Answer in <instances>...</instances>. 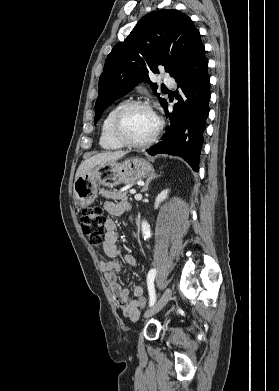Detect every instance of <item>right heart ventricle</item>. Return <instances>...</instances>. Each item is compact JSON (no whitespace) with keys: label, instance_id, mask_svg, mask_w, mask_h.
Listing matches in <instances>:
<instances>
[{"label":"right heart ventricle","instance_id":"right-heart-ventricle-1","mask_svg":"<svg viewBox=\"0 0 279 391\" xmlns=\"http://www.w3.org/2000/svg\"><path fill=\"white\" fill-rule=\"evenodd\" d=\"M123 103H118L114 105L104 116L101 123L100 131V146L105 150H119L124 147L120 142H118L112 134V121L115 113L121 107Z\"/></svg>","mask_w":279,"mask_h":391}]
</instances>
